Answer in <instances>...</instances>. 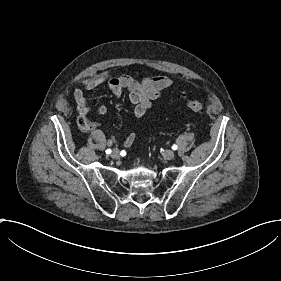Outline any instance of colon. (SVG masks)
<instances>
[{"instance_id": "1", "label": "colon", "mask_w": 281, "mask_h": 281, "mask_svg": "<svg viewBox=\"0 0 281 281\" xmlns=\"http://www.w3.org/2000/svg\"><path fill=\"white\" fill-rule=\"evenodd\" d=\"M187 107L192 112L202 113L205 110V103L201 99L193 98L188 101Z\"/></svg>"}]
</instances>
